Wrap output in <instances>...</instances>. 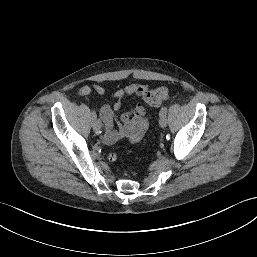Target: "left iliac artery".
<instances>
[{"label": "left iliac artery", "instance_id": "1", "mask_svg": "<svg viewBox=\"0 0 257 257\" xmlns=\"http://www.w3.org/2000/svg\"><path fill=\"white\" fill-rule=\"evenodd\" d=\"M167 114V107L164 106L161 108L160 112H159V116L162 117V116H166Z\"/></svg>", "mask_w": 257, "mask_h": 257}]
</instances>
